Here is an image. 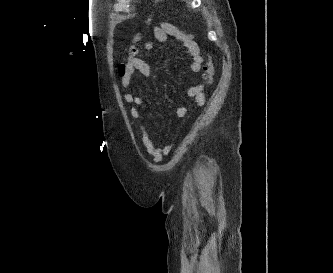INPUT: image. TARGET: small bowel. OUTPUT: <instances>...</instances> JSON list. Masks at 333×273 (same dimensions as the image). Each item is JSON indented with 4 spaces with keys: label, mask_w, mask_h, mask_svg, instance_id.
<instances>
[{
    "label": "small bowel",
    "mask_w": 333,
    "mask_h": 273,
    "mask_svg": "<svg viewBox=\"0 0 333 273\" xmlns=\"http://www.w3.org/2000/svg\"><path fill=\"white\" fill-rule=\"evenodd\" d=\"M155 38L160 43H166L168 37H171L173 43L182 49L191 57L189 69L193 74H198L201 71L203 57L199 52V48L194 40L192 34L186 33L181 28L170 24L168 22L161 23L154 31ZM153 42L139 43L135 51L128 50L127 62L124 65L121 73V87L123 89V99L130 105V115L133 118L135 125L141 135L142 143L145 147L146 153L152 158L154 162H159L162 159L164 151L158 148L152 139L150 138L146 126L140 116V106L142 100L139 96H136L131 91L133 83V75L135 72H139L143 77L151 76V67L143 59L140 58V54L143 51H149L153 49ZM128 56H133V61H128ZM204 85L202 83L191 86L187 90L188 97L195 100L199 105L204 102ZM185 113L184 108L178 110V115L182 116Z\"/></svg>",
    "instance_id": "small-bowel-1"
}]
</instances>
